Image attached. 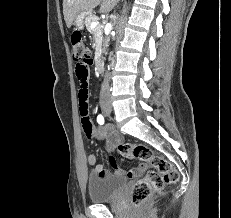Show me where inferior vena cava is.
<instances>
[{
	"label": "inferior vena cava",
	"instance_id": "1",
	"mask_svg": "<svg viewBox=\"0 0 231 218\" xmlns=\"http://www.w3.org/2000/svg\"><path fill=\"white\" fill-rule=\"evenodd\" d=\"M113 18V16H111ZM110 97L109 78L106 76L100 91V100H106Z\"/></svg>",
	"mask_w": 231,
	"mask_h": 218
}]
</instances>
